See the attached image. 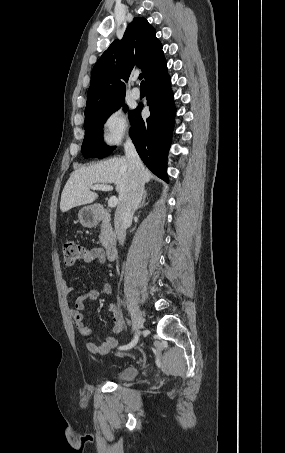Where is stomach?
<instances>
[{"label":"stomach","instance_id":"1","mask_svg":"<svg viewBox=\"0 0 285 453\" xmlns=\"http://www.w3.org/2000/svg\"><path fill=\"white\" fill-rule=\"evenodd\" d=\"M78 218L81 225L87 228L94 227L98 223V213L91 206L83 207L78 213Z\"/></svg>","mask_w":285,"mask_h":453}]
</instances>
